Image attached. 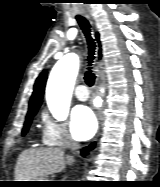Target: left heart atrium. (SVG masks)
<instances>
[{"label": "left heart atrium", "mask_w": 160, "mask_h": 187, "mask_svg": "<svg viewBox=\"0 0 160 187\" xmlns=\"http://www.w3.org/2000/svg\"><path fill=\"white\" fill-rule=\"evenodd\" d=\"M97 128L96 118L87 106H77L71 116V131L78 140L90 139Z\"/></svg>", "instance_id": "left-heart-atrium-1"}]
</instances>
